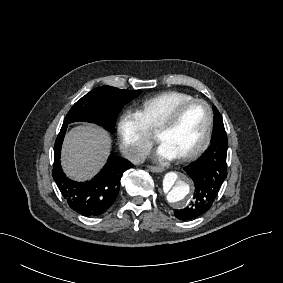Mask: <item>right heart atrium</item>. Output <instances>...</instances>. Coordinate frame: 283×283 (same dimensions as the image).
Wrapping results in <instances>:
<instances>
[{"label":"right heart atrium","mask_w":283,"mask_h":283,"mask_svg":"<svg viewBox=\"0 0 283 283\" xmlns=\"http://www.w3.org/2000/svg\"><path fill=\"white\" fill-rule=\"evenodd\" d=\"M116 131L124 157L131 163L140 162L151 147L149 129L143 118L131 108H125Z\"/></svg>","instance_id":"right-heart-atrium-1"}]
</instances>
